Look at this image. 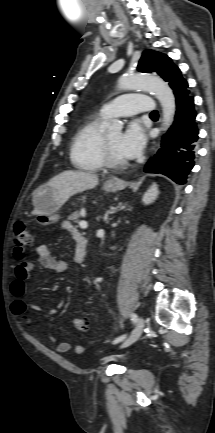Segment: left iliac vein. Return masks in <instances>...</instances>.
<instances>
[{
    "instance_id": "obj_1",
    "label": "left iliac vein",
    "mask_w": 215,
    "mask_h": 433,
    "mask_svg": "<svg viewBox=\"0 0 215 433\" xmlns=\"http://www.w3.org/2000/svg\"><path fill=\"white\" fill-rule=\"evenodd\" d=\"M145 326V321L143 318H139L137 320V324L134 330L131 332L130 336L122 343L121 348H125L133 344L135 341L139 339L142 334L143 328Z\"/></svg>"
}]
</instances>
